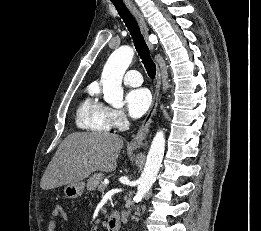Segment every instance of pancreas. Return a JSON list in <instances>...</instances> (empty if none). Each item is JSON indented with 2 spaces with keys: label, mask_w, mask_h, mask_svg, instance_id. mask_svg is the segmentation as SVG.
Wrapping results in <instances>:
<instances>
[{
  "label": "pancreas",
  "mask_w": 261,
  "mask_h": 231,
  "mask_svg": "<svg viewBox=\"0 0 261 231\" xmlns=\"http://www.w3.org/2000/svg\"><path fill=\"white\" fill-rule=\"evenodd\" d=\"M103 173H95L93 174L88 180H87V190L88 191H94L97 187L104 186L103 179H104Z\"/></svg>",
  "instance_id": "cf45deb5"
}]
</instances>
